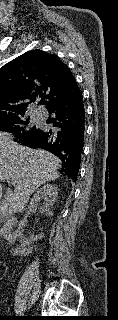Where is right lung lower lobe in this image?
I'll return each mask as SVG.
<instances>
[{
  "label": "right lung lower lobe",
  "instance_id": "1",
  "mask_svg": "<svg viewBox=\"0 0 118 320\" xmlns=\"http://www.w3.org/2000/svg\"><path fill=\"white\" fill-rule=\"evenodd\" d=\"M50 118L46 121L52 128L39 129L37 133L17 140L31 148L45 149L62 161L61 174L77 180L85 135V108L82 92L51 104Z\"/></svg>",
  "mask_w": 118,
  "mask_h": 320
}]
</instances>
